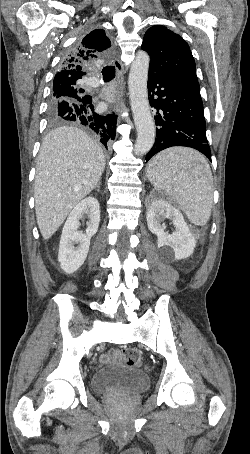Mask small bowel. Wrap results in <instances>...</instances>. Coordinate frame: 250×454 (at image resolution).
Returning a JSON list of instances; mask_svg holds the SVG:
<instances>
[{
	"label": "small bowel",
	"mask_w": 250,
	"mask_h": 454,
	"mask_svg": "<svg viewBox=\"0 0 250 454\" xmlns=\"http://www.w3.org/2000/svg\"><path fill=\"white\" fill-rule=\"evenodd\" d=\"M116 355H117L116 351H112L108 355L102 356L101 359L103 362H107V361H110L111 359H113Z\"/></svg>",
	"instance_id": "small-bowel-1"
}]
</instances>
